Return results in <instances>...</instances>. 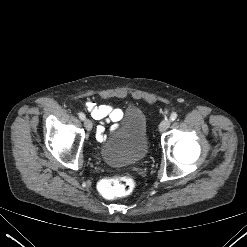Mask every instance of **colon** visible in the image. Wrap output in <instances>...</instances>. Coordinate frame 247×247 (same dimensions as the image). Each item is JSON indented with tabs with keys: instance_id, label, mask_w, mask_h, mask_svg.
Masks as SVG:
<instances>
[{
	"instance_id": "colon-1",
	"label": "colon",
	"mask_w": 247,
	"mask_h": 247,
	"mask_svg": "<svg viewBox=\"0 0 247 247\" xmlns=\"http://www.w3.org/2000/svg\"><path fill=\"white\" fill-rule=\"evenodd\" d=\"M134 187V178L127 174L109 177L100 183V191L108 199L126 196L133 191Z\"/></svg>"
}]
</instances>
